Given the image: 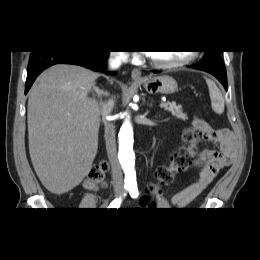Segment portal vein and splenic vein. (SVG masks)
Masks as SVG:
<instances>
[{"mask_svg": "<svg viewBox=\"0 0 260 260\" xmlns=\"http://www.w3.org/2000/svg\"><path fill=\"white\" fill-rule=\"evenodd\" d=\"M167 106H168L167 103H163V102H162V103L160 104V107H162V108H165V107H167Z\"/></svg>", "mask_w": 260, "mask_h": 260, "instance_id": "18ae733b", "label": "portal vein and splenic vein"}]
</instances>
